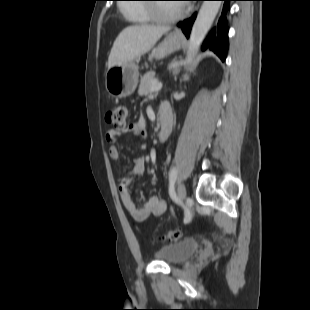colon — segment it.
Instances as JSON below:
<instances>
[{
    "label": "colon",
    "mask_w": 310,
    "mask_h": 310,
    "mask_svg": "<svg viewBox=\"0 0 310 310\" xmlns=\"http://www.w3.org/2000/svg\"><path fill=\"white\" fill-rule=\"evenodd\" d=\"M127 108L124 105H117L106 113V121L117 130H124L126 127ZM183 236V231L175 229L159 237L163 241H177Z\"/></svg>",
    "instance_id": "colon-1"
}]
</instances>
